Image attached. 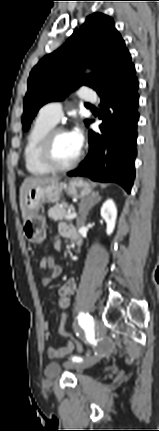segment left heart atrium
I'll use <instances>...</instances> for the list:
<instances>
[{
    "label": "left heart atrium",
    "mask_w": 159,
    "mask_h": 431,
    "mask_svg": "<svg viewBox=\"0 0 159 431\" xmlns=\"http://www.w3.org/2000/svg\"><path fill=\"white\" fill-rule=\"evenodd\" d=\"M68 135L74 146L80 151L84 142V135L79 127L73 128L68 132Z\"/></svg>",
    "instance_id": "obj_1"
}]
</instances>
